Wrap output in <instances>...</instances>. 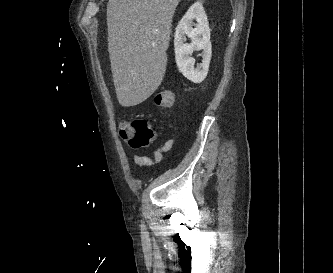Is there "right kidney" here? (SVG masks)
I'll list each match as a JSON object with an SVG mask.
<instances>
[{"mask_svg": "<svg viewBox=\"0 0 333 273\" xmlns=\"http://www.w3.org/2000/svg\"><path fill=\"white\" fill-rule=\"evenodd\" d=\"M186 36L191 38L190 44L185 43ZM174 37L175 60L179 71L194 83L202 82L208 73L212 46L208 19L201 2L194 3L188 9L177 25ZM199 50H202L203 60L195 68V59L191 55L193 51Z\"/></svg>", "mask_w": 333, "mask_h": 273, "instance_id": "ca27d5eb", "label": "right kidney"}]
</instances>
